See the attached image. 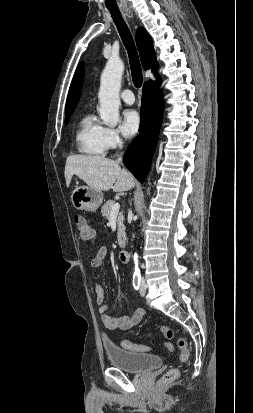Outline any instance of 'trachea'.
<instances>
[{
	"label": "trachea",
	"mask_w": 253,
	"mask_h": 413,
	"mask_svg": "<svg viewBox=\"0 0 253 413\" xmlns=\"http://www.w3.org/2000/svg\"><path fill=\"white\" fill-rule=\"evenodd\" d=\"M117 26L122 42L127 50L131 68L132 80L135 87L140 88L143 82L142 68L132 34L119 10H109Z\"/></svg>",
	"instance_id": "obj_1"
}]
</instances>
